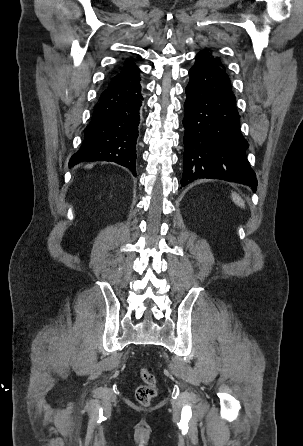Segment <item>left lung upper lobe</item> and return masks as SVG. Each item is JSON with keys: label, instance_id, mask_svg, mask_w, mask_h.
<instances>
[{"label": "left lung upper lobe", "instance_id": "1", "mask_svg": "<svg viewBox=\"0 0 303 446\" xmlns=\"http://www.w3.org/2000/svg\"><path fill=\"white\" fill-rule=\"evenodd\" d=\"M199 53H204L209 55L210 58H212L217 65H219L220 67H222L223 69H225L224 65L221 63L220 59L218 57L213 56L212 52L210 51H206V50H202Z\"/></svg>", "mask_w": 303, "mask_h": 446}]
</instances>
